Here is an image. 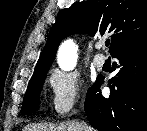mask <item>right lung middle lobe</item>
<instances>
[{"label":"right lung middle lobe","mask_w":147,"mask_h":131,"mask_svg":"<svg viewBox=\"0 0 147 131\" xmlns=\"http://www.w3.org/2000/svg\"><path fill=\"white\" fill-rule=\"evenodd\" d=\"M47 71L48 70L37 73L33 75L32 78L30 79L21 109L22 114H28L38 110L39 95Z\"/></svg>","instance_id":"dd1d6c3e"}]
</instances>
